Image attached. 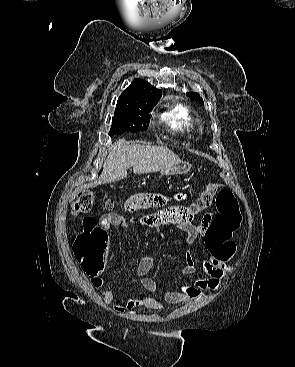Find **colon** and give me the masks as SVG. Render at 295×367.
I'll use <instances>...</instances> for the list:
<instances>
[{
	"mask_svg": "<svg viewBox=\"0 0 295 367\" xmlns=\"http://www.w3.org/2000/svg\"><path fill=\"white\" fill-rule=\"evenodd\" d=\"M166 200L159 198L158 205ZM215 203L217 214L211 221L205 238L206 245L219 257L229 259L235 252L233 233L241 222V214L234 194L218 183H210L201 193L189 212H200ZM95 205V194L82 192L73 204L77 213H88ZM107 208L113 207V201L106 202ZM73 252L82 269L91 277L99 275L104 268L107 252V234L94 219L83 220V230L74 239Z\"/></svg>",
	"mask_w": 295,
	"mask_h": 367,
	"instance_id": "1",
	"label": "colon"
}]
</instances>
